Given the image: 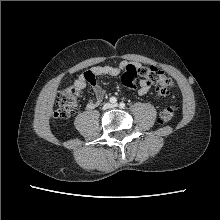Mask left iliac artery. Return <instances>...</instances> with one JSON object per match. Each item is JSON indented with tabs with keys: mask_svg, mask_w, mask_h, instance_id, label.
<instances>
[{
	"mask_svg": "<svg viewBox=\"0 0 220 220\" xmlns=\"http://www.w3.org/2000/svg\"><path fill=\"white\" fill-rule=\"evenodd\" d=\"M119 106H120V108H125V103H124V102H121V103L119 104Z\"/></svg>",
	"mask_w": 220,
	"mask_h": 220,
	"instance_id": "1",
	"label": "left iliac artery"
}]
</instances>
